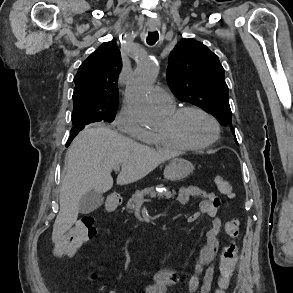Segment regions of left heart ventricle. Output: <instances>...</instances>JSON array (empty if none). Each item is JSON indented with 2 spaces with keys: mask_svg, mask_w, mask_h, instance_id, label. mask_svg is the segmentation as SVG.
<instances>
[{
  "mask_svg": "<svg viewBox=\"0 0 293 293\" xmlns=\"http://www.w3.org/2000/svg\"><path fill=\"white\" fill-rule=\"evenodd\" d=\"M166 126L167 121L162 130ZM179 131L185 140L193 144L204 143L214 135V128L211 122L196 112H189L182 117L179 123Z\"/></svg>",
  "mask_w": 293,
  "mask_h": 293,
  "instance_id": "obj_1",
  "label": "left heart ventricle"
}]
</instances>
